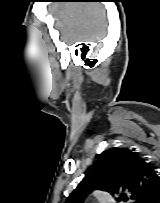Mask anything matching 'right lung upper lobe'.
Returning a JSON list of instances; mask_svg holds the SVG:
<instances>
[{"label": "right lung upper lobe", "instance_id": "1", "mask_svg": "<svg viewBox=\"0 0 160 203\" xmlns=\"http://www.w3.org/2000/svg\"><path fill=\"white\" fill-rule=\"evenodd\" d=\"M92 190H103L117 199L149 203L160 194V176L136 152L110 148L101 155L88 175L69 195L65 203H83Z\"/></svg>", "mask_w": 160, "mask_h": 203}]
</instances>
